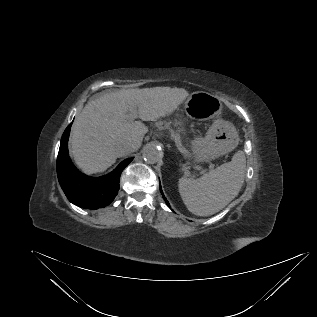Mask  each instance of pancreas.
I'll use <instances>...</instances> for the list:
<instances>
[{"mask_svg":"<svg viewBox=\"0 0 317 317\" xmlns=\"http://www.w3.org/2000/svg\"><path fill=\"white\" fill-rule=\"evenodd\" d=\"M174 139L178 145H181V138L178 133L175 134Z\"/></svg>","mask_w":317,"mask_h":317,"instance_id":"pancreas-1","label":"pancreas"}]
</instances>
